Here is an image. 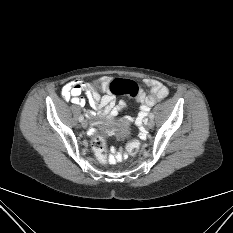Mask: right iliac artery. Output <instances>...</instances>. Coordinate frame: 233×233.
<instances>
[{
	"label": "right iliac artery",
	"mask_w": 233,
	"mask_h": 233,
	"mask_svg": "<svg viewBox=\"0 0 233 233\" xmlns=\"http://www.w3.org/2000/svg\"><path fill=\"white\" fill-rule=\"evenodd\" d=\"M83 120H84L83 115H80V117H79V121H80V122H82Z\"/></svg>",
	"instance_id": "82829eb1"
}]
</instances>
